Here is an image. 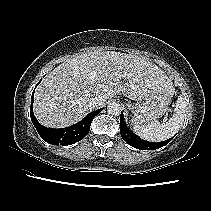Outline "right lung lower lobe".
Masks as SVG:
<instances>
[{
	"label": "right lung lower lobe",
	"instance_id": "1",
	"mask_svg": "<svg viewBox=\"0 0 211 211\" xmlns=\"http://www.w3.org/2000/svg\"><path fill=\"white\" fill-rule=\"evenodd\" d=\"M33 98H34V91L32 93L31 109H30V116L32 123L37 129L41 138L45 140L47 143L52 145L67 146L82 140L89 133L91 122L94 119V117L102 111V108L98 109L88 114L81 122L67 128H62V129L46 128L41 124H39L34 116Z\"/></svg>",
	"mask_w": 211,
	"mask_h": 211
}]
</instances>
